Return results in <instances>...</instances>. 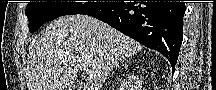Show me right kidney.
Segmentation results:
<instances>
[{"instance_id":"1","label":"right kidney","mask_w":216,"mask_h":90,"mask_svg":"<svg viewBox=\"0 0 216 90\" xmlns=\"http://www.w3.org/2000/svg\"><path fill=\"white\" fill-rule=\"evenodd\" d=\"M134 80H135V78H134ZM136 80H137V84H135L134 88H136V90H137V86H138L140 80H139V78H136Z\"/></svg>"}]
</instances>
